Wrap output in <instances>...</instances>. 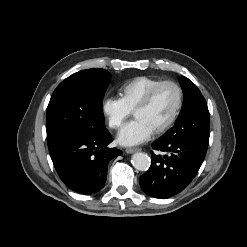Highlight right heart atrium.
I'll return each instance as SVG.
<instances>
[{
  "label": "right heart atrium",
  "mask_w": 247,
  "mask_h": 247,
  "mask_svg": "<svg viewBox=\"0 0 247 247\" xmlns=\"http://www.w3.org/2000/svg\"><path fill=\"white\" fill-rule=\"evenodd\" d=\"M101 110L110 128H120L131 114L121 98L106 96L101 102Z\"/></svg>",
  "instance_id": "obj_1"
}]
</instances>
